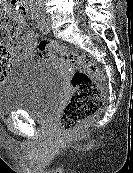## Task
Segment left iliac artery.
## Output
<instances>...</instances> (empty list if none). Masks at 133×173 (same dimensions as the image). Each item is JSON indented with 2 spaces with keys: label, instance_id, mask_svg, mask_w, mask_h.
I'll return each mask as SVG.
<instances>
[{
  "label": "left iliac artery",
  "instance_id": "left-iliac-artery-1",
  "mask_svg": "<svg viewBox=\"0 0 133 173\" xmlns=\"http://www.w3.org/2000/svg\"><path fill=\"white\" fill-rule=\"evenodd\" d=\"M35 19H36V22H37L39 29L43 30L44 24H45V15L41 10L37 9L35 11Z\"/></svg>",
  "mask_w": 133,
  "mask_h": 173
}]
</instances>
